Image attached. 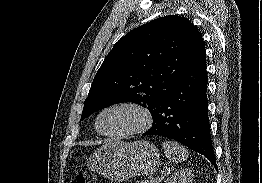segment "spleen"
I'll use <instances>...</instances> for the list:
<instances>
[{"label":"spleen","mask_w":262,"mask_h":183,"mask_svg":"<svg viewBox=\"0 0 262 183\" xmlns=\"http://www.w3.org/2000/svg\"><path fill=\"white\" fill-rule=\"evenodd\" d=\"M163 149L166 158L170 162H174V163L183 162L188 158L187 149L177 142L164 141Z\"/></svg>","instance_id":"3e777b00"}]
</instances>
